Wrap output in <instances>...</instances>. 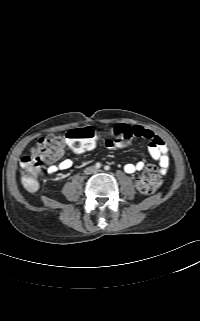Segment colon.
<instances>
[{
	"label": "colon",
	"mask_w": 200,
	"mask_h": 321,
	"mask_svg": "<svg viewBox=\"0 0 200 321\" xmlns=\"http://www.w3.org/2000/svg\"><path fill=\"white\" fill-rule=\"evenodd\" d=\"M98 136L99 131L91 127H81L71 129L65 135L50 134L40 138L31 153L20 160L24 188L29 192L38 189L36 175L42 163L60 155L65 144L73 150L84 152L95 146ZM112 136L117 146H125L137 137V133L128 125H117L112 130ZM161 181V170L148 166L137 179L136 187L140 193L150 195L158 189Z\"/></svg>",
	"instance_id": "5ec220e1"
}]
</instances>
